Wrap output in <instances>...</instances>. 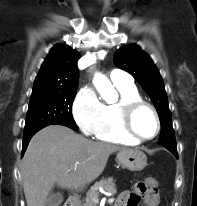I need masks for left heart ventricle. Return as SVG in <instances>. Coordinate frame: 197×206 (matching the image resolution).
I'll return each mask as SVG.
<instances>
[{
    "mask_svg": "<svg viewBox=\"0 0 197 206\" xmlns=\"http://www.w3.org/2000/svg\"><path fill=\"white\" fill-rule=\"evenodd\" d=\"M135 131L142 137H151L156 131V121L150 110H139L133 120Z\"/></svg>",
    "mask_w": 197,
    "mask_h": 206,
    "instance_id": "obj_1",
    "label": "left heart ventricle"
}]
</instances>
